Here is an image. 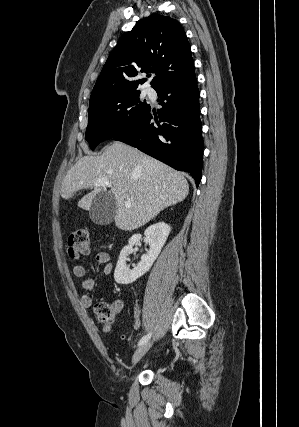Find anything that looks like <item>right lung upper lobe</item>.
Here are the masks:
<instances>
[{
	"mask_svg": "<svg viewBox=\"0 0 299 427\" xmlns=\"http://www.w3.org/2000/svg\"><path fill=\"white\" fill-rule=\"evenodd\" d=\"M156 73V90L167 81L194 73L186 33L178 21L152 14L138 22L119 40L94 86L89 104L115 95L138 91L146 81L142 73ZM148 76V75H147Z\"/></svg>",
	"mask_w": 299,
	"mask_h": 427,
	"instance_id": "obj_1",
	"label": "right lung upper lobe"
}]
</instances>
